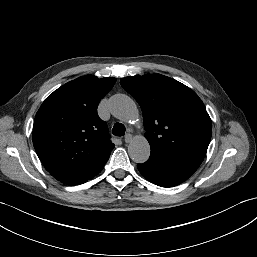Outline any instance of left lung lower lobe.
<instances>
[{"label": "left lung lower lobe", "mask_w": 257, "mask_h": 257, "mask_svg": "<svg viewBox=\"0 0 257 257\" xmlns=\"http://www.w3.org/2000/svg\"><path fill=\"white\" fill-rule=\"evenodd\" d=\"M204 158L199 156L165 157L151 154L149 159L138 164L140 173L150 182L173 187L187 180L200 166Z\"/></svg>", "instance_id": "obj_1"}]
</instances>
